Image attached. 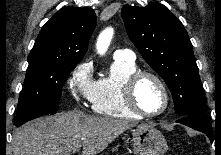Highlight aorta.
<instances>
[{
	"instance_id": "obj_1",
	"label": "aorta",
	"mask_w": 221,
	"mask_h": 155,
	"mask_svg": "<svg viewBox=\"0 0 221 155\" xmlns=\"http://www.w3.org/2000/svg\"><path fill=\"white\" fill-rule=\"evenodd\" d=\"M112 36H113L112 28H107L100 34L98 41H97L98 53L103 55L107 51L108 46L111 42Z\"/></svg>"
}]
</instances>
